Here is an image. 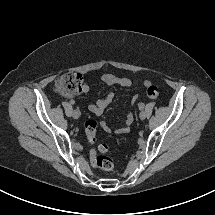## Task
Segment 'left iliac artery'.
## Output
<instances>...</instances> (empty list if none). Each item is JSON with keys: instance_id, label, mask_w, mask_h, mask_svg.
Listing matches in <instances>:
<instances>
[{"instance_id": "1", "label": "left iliac artery", "mask_w": 215, "mask_h": 215, "mask_svg": "<svg viewBox=\"0 0 215 215\" xmlns=\"http://www.w3.org/2000/svg\"><path fill=\"white\" fill-rule=\"evenodd\" d=\"M143 108H144V104H141V105L139 106V108H138V111H139V112H142V111H143Z\"/></svg>"}]
</instances>
